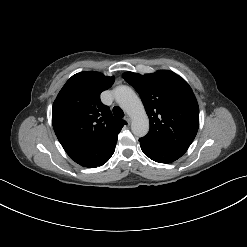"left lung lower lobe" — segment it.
<instances>
[{
  "mask_svg": "<svg viewBox=\"0 0 247 247\" xmlns=\"http://www.w3.org/2000/svg\"><path fill=\"white\" fill-rule=\"evenodd\" d=\"M139 142L144 154L158 163H171L186 152V150L183 149L158 145L143 137L139 139Z\"/></svg>",
  "mask_w": 247,
  "mask_h": 247,
  "instance_id": "obj_1",
  "label": "left lung lower lobe"
}]
</instances>
